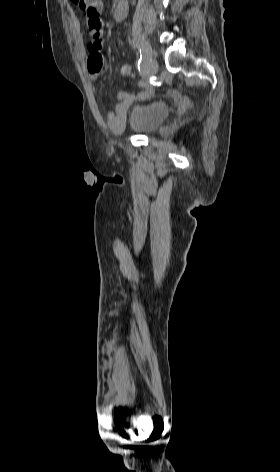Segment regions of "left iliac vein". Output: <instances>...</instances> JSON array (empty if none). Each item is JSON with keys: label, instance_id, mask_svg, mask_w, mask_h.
Masks as SVG:
<instances>
[{"label": "left iliac vein", "instance_id": "obj_1", "mask_svg": "<svg viewBox=\"0 0 280 472\" xmlns=\"http://www.w3.org/2000/svg\"><path fill=\"white\" fill-rule=\"evenodd\" d=\"M148 48H149V57L147 60L146 68L147 71L151 74L154 75L158 71V63L157 61L152 57V49L151 46L148 43H144Z\"/></svg>", "mask_w": 280, "mask_h": 472}]
</instances>
